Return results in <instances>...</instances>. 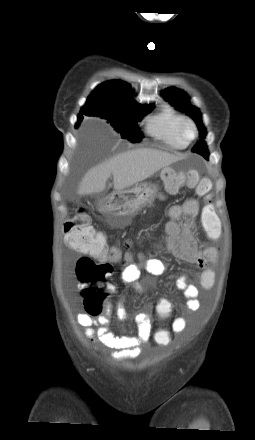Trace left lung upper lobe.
I'll list each match as a JSON object with an SVG mask.
<instances>
[{
	"instance_id": "1",
	"label": "left lung upper lobe",
	"mask_w": 255,
	"mask_h": 440,
	"mask_svg": "<svg viewBox=\"0 0 255 440\" xmlns=\"http://www.w3.org/2000/svg\"><path fill=\"white\" fill-rule=\"evenodd\" d=\"M162 96L170 104L194 119L200 131V138H204L206 136L205 127L201 122V113L199 112L198 108L190 105V100L183 91L172 87L163 91ZM192 151L199 153L208 160L209 153L207 145L202 139L197 142V144L192 148Z\"/></svg>"
}]
</instances>
